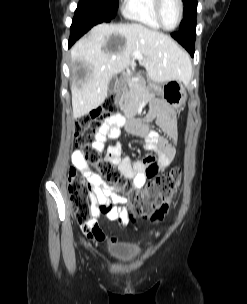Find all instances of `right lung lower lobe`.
I'll list each match as a JSON object with an SVG mask.
<instances>
[{
	"instance_id": "1",
	"label": "right lung lower lobe",
	"mask_w": 247,
	"mask_h": 304,
	"mask_svg": "<svg viewBox=\"0 0 247 304\" xmlns=\"http://www.w3.org/2000/svg\"><path fill=\"white\" fill-rule=\"evenodd\" d=\"M109 21H111L109 18L75 15L71 25L69 47L94 25Z\"/></svg>"
}]
</instances>
